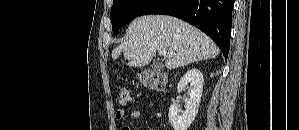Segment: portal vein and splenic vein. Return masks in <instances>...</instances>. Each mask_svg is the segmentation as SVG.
I'll list each match as a JSON object with an SVG mask.
<instances>
[{"mask_svg": "<svg viewBox=\"0 0 299 130\" xmlns=\"http://www.w3.org/2000/svg\"><path fill=\"white\" fill-rule=\"evenodd\" d=\"M158 54L161 55V56H166L168 58L173 55L172 52H169V51L167 52L166 49H160V50H158Z\"/></svg>", "mask_w": 299, "mask_h": 130, "instance_id": "18ae733b", "label": "portal vein and splenic vein"}]
</instances>
